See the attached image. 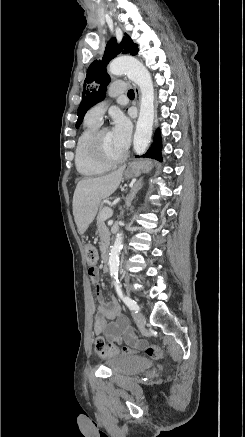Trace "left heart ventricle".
<instances>
[{
	"mask_svg": "<svg viewBox=\"0 0 245 437\" xmlns=\"http://www.w3.org/2000/svg\"><path fill=\"white\" fill-rule=\"evenodd\" d=\"M101 144L104 153L111 158H118L124 154V151L116 144L110 130L103 133Z\"/></svg>",
	"mask_w": 245,
	"mask_h": 437,
	"instance_id": "obj_1",
	"label": "left heart ventricle"
}]
</instances>
